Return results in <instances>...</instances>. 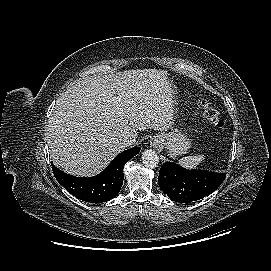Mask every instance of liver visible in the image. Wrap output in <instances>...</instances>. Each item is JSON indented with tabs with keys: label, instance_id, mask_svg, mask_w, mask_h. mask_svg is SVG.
<instances>
[{
	"label": "liver",
	"instance_id": "1",
	"mask_svg": "<svg viewBox=\"0 0 271 271\" xmlns=\"http://www.w3.org/2000/svg\"><path fill=\"white\" fill-rule=\"evenodd\" d=\"M173 86L168 72L137 69L78 80L56 101L48 124L50 158L75 176L99 174L138 131L172 128ZM121 98L120 102L115 99Z\"/></svg>",
	"mask_w": 271,
	"mask_h": 271
}]
</instances>
